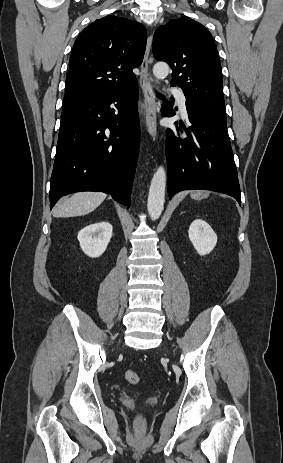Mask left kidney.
<instances>
[{
	"label": "left kidney",
	"mask_w": 283,
	"mask_h": 463,
	"mask_svg": "<svg viewBox=\"0 0 283 463\" xmlns=\"http://www.w3.org/2000/svg\"><path fill=\"white\" fill-rule=\"evenodd\" d=\"M188 234L195 250L201 256L209 254L216 246L217 235L204 220H194L189 227Z\"/></svg>",
	"instance_id": "left-kidney-1"
}]
</instances>
